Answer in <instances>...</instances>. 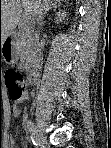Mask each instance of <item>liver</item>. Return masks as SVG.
<instances>
[{"instance_id":"1","label":"liver","mask_w":111,"mask_h":148,"mask_svg":"<svg viewBox=\"0 0 111 148\" xmlns=\"http://www.w3.org/2000/svg\"><path fill=\"white\" fill-rule=\"evenodd\" d=\"M45 0H2L1 1V42L4 43L16 28L22 17L27 20L34 16L35 10L43 6ZM50 2V0H49Z\"/></svg>"}]
</instances>
